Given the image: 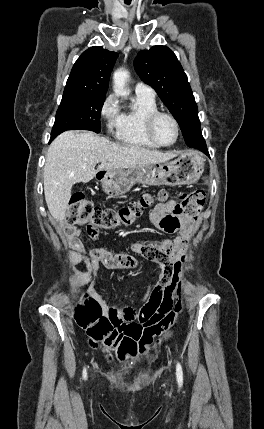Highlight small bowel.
Segmentation results:
<instances>
[{"mask_svg":"<svg viewBox=\"0 0 264 429\" xmlns=\"http://www.w3.org/2000/svg\"><path fill=\"white\" fill-rule=\"evenodd\" d=\"M150 221L157 228L169 232H178L173 239H159L152 242H139L131 246L133 255L114 253L104 247L88 244L76 227L66 226L62 231L64 244L72 250L69 259L86 265L84 279L89 282L88 295L96 301L102 311L108 314L111 308L100 299L96 291V280L101 266L110 269H133L138 265V255L159 263V280H151L142 297V306L138 310L129 307L134 318L129 330L124 332L127 341L134 342L136 354L145 356L152 344L158 345L170 336L169 329L178 321L180 307L173 309V293L182 278V264L185 261L192 221L182 213L174 200L158 204L150 214ZM92 238L97 233H90ZM165 333L162 340L154 338Z\"/></svg>","mask_w":264,"mask_h":429,"instance_id":"1","label":"small bowel"}]
</instances>
